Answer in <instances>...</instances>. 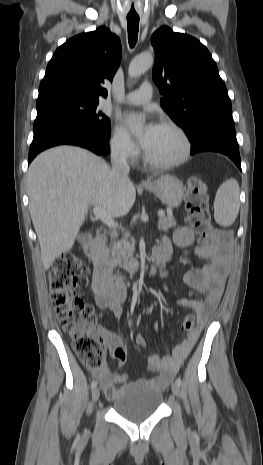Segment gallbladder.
<instances>
[{"instance_id":"bac80fb5","label":"gallbladder","mask_w":263,"mask_h":465,"mask_svg":"<svg viewBox=\"0 0 263 465\" xmlns=\"http://www.w3.org/2000/svg\"><path fill=\"white\" fill-rule=\"evenodd\" d=\"M90 239V235L87 233H82L77 236V240L81 243L84 244L86 241Z\"/></svg>"}]
</instances>
